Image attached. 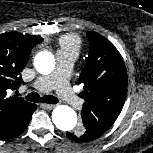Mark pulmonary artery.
I'll return each instance as SVG.
<instances>
[{
    "label": "pulmonary artery",
    "instance_id": "e3ab8cb5",
    "mask_svg": "<svg viewBox=\"0 0 153 153\" xmlns=\"http://www.w3.org/2000/svg\"><path fill=\"white\" fill-rule=\"evenodd\" d=\"M76 54L67 51L56 53V69L52 74L39 77L33 87L39 91H49L55 89L58 96L73 107H79L83 101L73 92L68 79L71 73Z\"/></svg>",
    "mask_w": 153,
    "mask_h": 153
}]
</instances>
